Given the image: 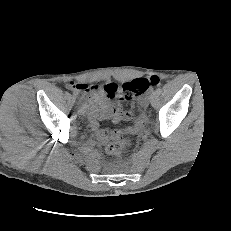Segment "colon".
<instances>
[{"label":"colon","mask_w":231,"mask_h":231,"mask_svg":"<svg viewBox=\"0 0 231 231\" xmlns=\"http://www.w3.org/2000/svg\"><path fill=\"white\" fill-rule=\"evenodd\" d=\"M160 79L156 76L150 79L138 78L124 83L121 87H116L115 94H120L126 100H133L135 97L142 95L150 86H158ZM130 144L127 138L117 139L106 146V152L110 155H121L126 151Z\"/></svg>","instance_id":"colon-1"}]
</instances>
